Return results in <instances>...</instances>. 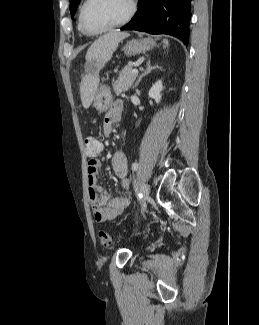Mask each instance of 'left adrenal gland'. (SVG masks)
I'll return each instance as SVG.
<instances>
[{
	"label": "left adrenal gland",
	"mask_w": 259,
	"mask_h": 325,
	"mask_svg": "<svg viewBox=\"0 0 259 325\" xmlns=\"http://www.w3.org/2000/svg\"><path fill=\"white\" fill-rule=\"evenodd\" d=\"M159 68L157 65L156 66H151V61H147L146 63V70L145 72L138 78V80L135 83V88L139 85L140 81L142 80V78L146 75H148L149 73H151L154 69Z\"/></svg>",
	"instance_id": "left-adrenal-gland-1"
}]
</instances>
